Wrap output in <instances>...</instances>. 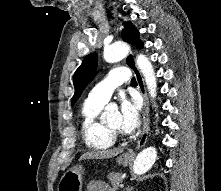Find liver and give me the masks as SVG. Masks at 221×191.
Listing matches in <instances>:
<instances>
[{"label": "liver", "mask_w": 221, "mask_h": 191, "mask_svg": "<svg viewBox=\"0 0 221 191\" xmlns=\"http://www.w3.org/2000/svg\"><path fill=\"white\" fill-rule=\"evenodd\" d=\"M122 149H111V150H102V151H91L84 153L79 160L86 159H108L117 156L122 153Z\"/></svg>", "instance_id": "1"}]
</instances>
